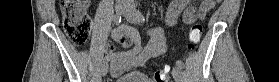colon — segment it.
Here are the masks:
<instances>
[{"instance_id":"5ec220e1","label":"colon","mask_w":279,"mask_h":82,"mask_svg":"<svg viewBox=\"0 0 279 82\" xmlns=\"http://www.w3.org/2000/svg\"><path fill=\"white\" fill-rule=\"evenodd\" d=\"M205 7L214 6L219 0H204ZM62 23L65 32L70 40L78 46L87 43L92 21L86 13L87 0H59ZM203 11H205L203 9ZM203 26L201 23L192 25L189 32L190 46L194 47L201 39ZM154 82H168V72L165 69L157 70L154 73Z\"/></svg>"}]
</instances>
